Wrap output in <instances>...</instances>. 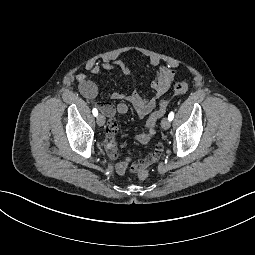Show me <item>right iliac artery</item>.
<instances>
[{
  "label": "right iliac artery",
  "mask_w": 255,
  "mask_h": 255,
  "mask_svg": "<svg viewBox=\"0 0 255 255\" xmlns=\"http://www.w3.org/2000/svg\"><path fill=\"white\" fill-rule=\"evenodd\" d=\"M92 112H93V115H94V116H97V115H98V111H97L96 108H94Z\"/></svg>",
  "instance_id": "82829eb1"
}]
</instances>
